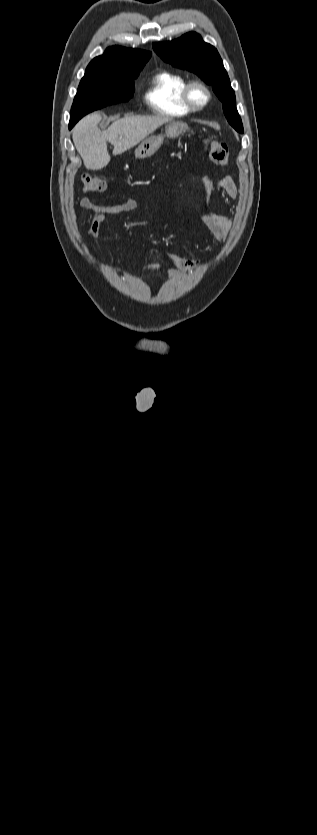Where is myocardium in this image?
Here are the masks:
<instances>
[{
  "mask_svg": "<svg viewBox=\"0 0 317 835\" xmlns=\"http://www.w3.org/2000/svg\"><path fill=\"white\" fill-rule=\"evenodd\" d=\"M199 88L204 91L205 99L202 103H197L193 99V90ZM183 100L185 104L192 110V111H200L203 110L211 101L212 93L209 86L200 80H191L188 81L186 86L184 87L182 93Z\"/></svg>",
  "mask_w": 317,
  "mask_h": 835,
  "instance_id": "obj_1",
  "label": "myocardium"
}]
</instances>
